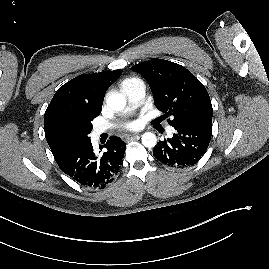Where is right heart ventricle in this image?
<instances>
[{"instance_id": "e07e8e85", "label": "right heart ventricle", "mask_w": 269, "mask_h": 269, "mask_svg": "<svg viewBox=\"0 0 269 269\" xmlns=\"http://www.w3.org/2000/svg\"><path fill=\"white\" fill-rule=\"evenodd\" d=\"M136 80L135 78H128V79H125L123 82H122V85L125 84V83H128V82H131V81H134Z\"/></svg>"}]
</instances>
